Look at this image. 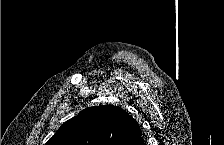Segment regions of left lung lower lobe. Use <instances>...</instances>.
<instances>
[{
  "label": "left lung lower lobe",
  "instance_id": "obj_1",
  "mask_svg": "<svg viewBox=\"0 0 224 145\" xmlns=\"http://www.w3.org/2000/svg\"><path fill=\"white\" fill-rule=\"evenodd\" d=\"M138 145H144V140H143V138L139 141Z\"/></svg>",
  "mask_w": 224,
  "mask_h": 145
}]
</instances>
